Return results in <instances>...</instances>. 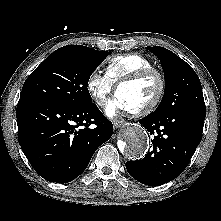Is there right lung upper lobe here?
<instances>
[{
    "label": "right lung upper lobe",
    "instance_id": "1",
    "mask_svg": "<svg viewBox=\"0 0 221 221\" xmlns=\"http://www.w3.org/2000/svg\"><path fill=\"white\" fill-rule=\"evenodd\" d=\"M78 46H81V45H78ZM81 47L84 48V49H86V50H88V51H94V49L89 48V47H85V46H81Z\"/></svg>",
    "mask_w": 221,
    "mask_h": 221
}]
</instances>
